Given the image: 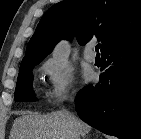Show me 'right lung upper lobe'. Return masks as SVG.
<instances>
[{
    "mask_svg": "<svg viewBox=\"0 0 141 139\" xmlns=\"http://www.w3.org/2000/svg\"><path fill=\"white\" fill-rule=\"evenodd\" d=\"M141 34V0H64L40 20L20 68L37 65L61 39L101 41V53Z\"/></svg>",
    "mask_w": 141,
    "mask_h": 139,
    "instance_id": "right-lung-upper-lobe-1",
    "label": "right lung upper lobe"
}]
</instances>
